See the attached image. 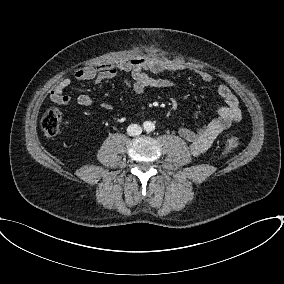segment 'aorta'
I'll return each mask as SVG.
<instances>
[{"label":"aorta","mask_w":284,"mask_h":284,"mask_svg":"<svg viewBox=\"0 0 284 284\" xmlns=\"http://www.w3.org/2000/svg\"><path fill=\"white\" fill-rule=\"evenodd\" d=\"M143 126H144V130H145V131H148V132H149V131H153V130L155 129L154 123H153V122H150V121L144 122Z\"/></svg>","instance_id":"obj_1"}]
</instances>
